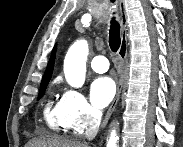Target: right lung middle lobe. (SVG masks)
<instances>
[{"instance_id": "obj_1", "label": "right lung middle lobe", "mask_w": 183, "mask_h": 147, "mask_svg": "<svg viewBox=\"0 0 183 147\" xmlns=\"http://www.w3.org/2000/svg\"><path fill=\"white\" fill-rule=\"evenodd\" d=\"M46 87H47V85L40 87V93H39L38 99H40L43 96V94L46 90Z\"/></svg>"}]
</instances>
